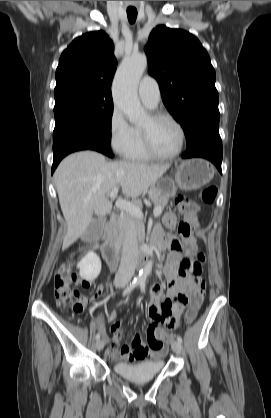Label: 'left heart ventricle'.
I'll use <instances>...</instances> for the list:
<instances>
[{
	"label": "left heart ventricle",
	"mask_w": 271,
	"mask_h": 418,
	"mask_svg": "<svg viewBox=\"0 0 271 418\" xmlns=\"http://www.w3.org/2000/svg\"><path fill=\"white\" fill-rule=\"evenodd\" d=\"M142 128L149 131L155 149L162 154L175 152L180 143L177 127L167 119L153 121L150 117L143 123Z\"/></svg>",
	"instance_id": "obj_1"
}]
</instances>
